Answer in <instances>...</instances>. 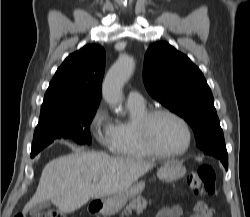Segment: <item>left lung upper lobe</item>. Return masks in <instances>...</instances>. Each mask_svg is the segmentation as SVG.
I'll list each match as a JSON object with an SVG mask.
<instances>
[{"instance_id":"5c2ea615","label":"left lung upper lobe","mask_w":250,"mask_h":217,"mask_svg":"<svg viewBox=\"0 0 250 217\" xmlns=\"http://www.w3.org/2000/svg\"><path fill=\"white\" fill-rule=\"evenodd\" d=\"M149 94L184 118L201 150L224 144L212 92L200 69L167 42L152 44L144 60Z\"/></svg>"}]
</instances>
